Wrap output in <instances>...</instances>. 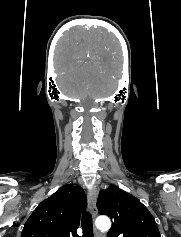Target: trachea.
<instances>
[{
    "label": "trachea",
    "mask_w": 181,
    "mask_h": 237,
    "mask_svg": "<svg viewBox=\"0 0 181 237\" xmlns=\"http://www.w3.org/2000/svg\"><path fill=\"white\" fill-rule=\"evenodd\" d=\"M83 237H93V225L92 216L90 213H86L81 220Z\"/></svg>",
    "instance_id": "3493384b"
}]
</instances>
